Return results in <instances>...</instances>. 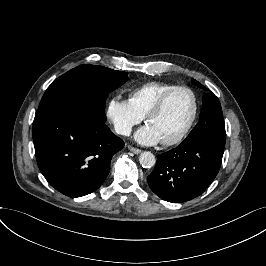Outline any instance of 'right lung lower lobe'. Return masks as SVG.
Returning <instances> with one entry per match:
<instances>
[{
	"mask_svg": "<svg viewBox=\"0 0 266 266\" xmlns=\"http://www.w3.org/2000/svg\"><path fill=\"white\" fill-rule=\"evenodd\" d=\"M88 103L60 98L38 108L32 128L40 171L57 191L87 195L101 186L124 142Z\"/></svg>",
	"mask_w": 266,
	"mask_h": 266,
	"instance_id": "98d812e1",
	"label": "right lung lower lobe"
}]
</instances>
